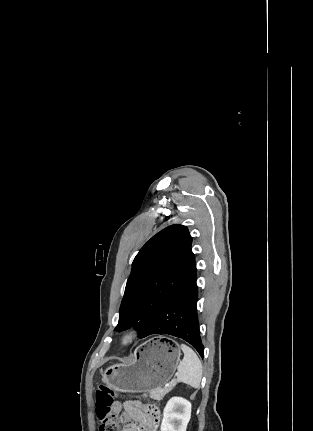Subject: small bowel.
I'll return each instance as SVG.
<instances>
[{
  "instance_id": "small-bowel-1",
  "label": "small bowel",
  "mask_w": 313,
  "mask_h": 431,
  "mask_svg": "<svg viewBox=\"0 0 313 431\" xmlns=\"http://www.w3.org/2000/svg\"><path fill=\"white\" fill-rule=\"evenodd\" d=\"M113 411L118 413L122 431H154L157 420L150 414L149 407L137 402H115Z\"/></svg>"
}]
</instances>
